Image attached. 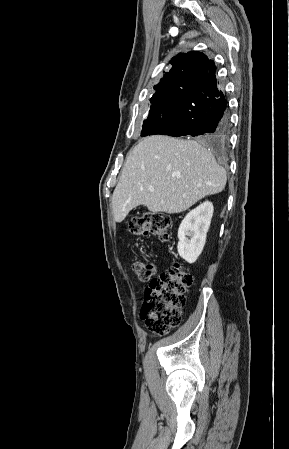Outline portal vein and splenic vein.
<instances>
[{
	"mask_svg": "<svg viewBox=\"0 0 289 449\" xmlns=\"http://www.w3.org/2000/svg\"><path fill=\"white\" fill-rule=\"evenodd\" d=\"M149 190L153 192L155 189L153 187H149Z\"/></svg>",
	"mask_w": 289,
	"mask_h": 449,
	"instance_id": "18ae733b",
	"label": "portal vein and splenic vein"
}]
</instances>
